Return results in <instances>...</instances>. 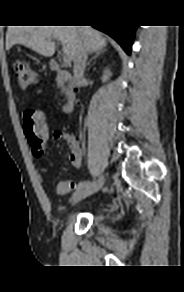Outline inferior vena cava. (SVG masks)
<instances>
[{
    "label": "inferior vena cava",
    "mask_w": 184,
    "mask_h": 292,
    "mask_svg": "<svg viewBox=\"0 0 184 292\" xmlns=\"http://www.w3.org/2000/svg\"><path fill=\"white\" fill-rule=\"evenodd\" d=\"M87 50L85 43L79 48L73 65V82L75 86L81 87L85 82L84 71L86 67Z\"/></svg>",
    "instance_id": "obj_1"
}]
</instances>
